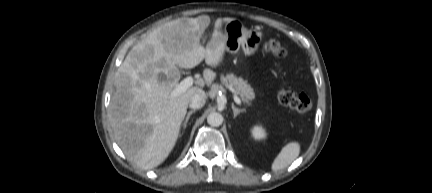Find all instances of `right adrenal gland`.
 <instances>
[{
	"label": "right adrenal gland",
	"mask_w": 432,
	"mask_h": 193,
	"mask_svg": "<svg viewBox=\"0 0 432 193\" xmlns=\"http://www.w3.org/2000/svg\"><path fill=\"white\" fill-rule=\"evenodd\" d=\"M195 111H196V110H191V111H189V112L187 113V115H186V117H185V119H184V121H183V124H182V126H183L184 129H185L186 126H187V122H188L190 116H191L193 113H195Z\"/></svg>",
	"instance_id": "right-adrenal-gland-1"
}]
</instances>
